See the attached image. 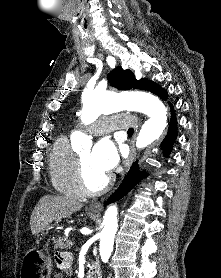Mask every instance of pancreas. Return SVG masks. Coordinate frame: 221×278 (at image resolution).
<instances>
[{
  "mask_svg": "<svg viewBox=\"0 0 221 278\" xmlns=\"http://www.w3.org/2000/svg\"><path fill=\"white\" fill-rule=\"evenodd\" d=\"M65 242V238L64 237H58L54 240V246L55 248H67L70 249L73 245H70L69 242L67 241Z\"/></svg>",
  "mask_w": 221,
  "mask_h": 278,
  "instance_id": "obj_1",
  "label": "pancreas"
}]
</instances>
